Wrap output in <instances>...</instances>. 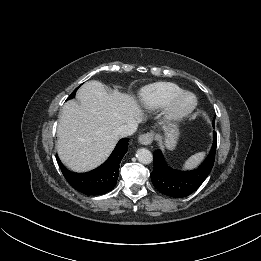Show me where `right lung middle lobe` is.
<instances>
[{"mask_svg":"<svg viewBox=\"0 0 261 261\" xmlns=\"http://www.w3.org/2000/svg\"><path fill=\"white\" fill-rule=\"evenodd\" d=\"M77 89H78V88H76V89L71 93V95L68 97L67 100L72 99V98L75 97V93H76Z\"/></svg>","mask_w":261,"mask_h":261,"instance_id":"dd1d6c3e","label":"right lung middle lobe"}]
</instances>
